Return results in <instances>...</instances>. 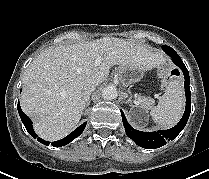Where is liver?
<instances>
[{
  "mask_svg": "<svg viewBox=\"0 0 209 179\" xmlns=\"http://www.w3.org/2000/svg\"><path fill=\"white\" fill-rule=\"evenodd\" d=\"M97 57L102 62L95 66ZM163 61L162 52L114 37L50 47L25 70L20 105L41 138L59 140L79 123L86 88L104 82L112 66L146 71Z\"/></svg>",
  "mask_w": 209,
  "mask_h": 179,
  "instance_id": "obj_1",
  "label": "liver"
}]
</instances>
